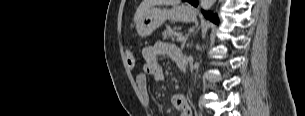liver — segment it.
Returning a JSON list of instances; mask_svg holds the SVG:
<instances>
[{
	"mask_svg": "<svg viewBox=\"0 0 305 116\" xmlns=\"http://www.w3.org/2000/svg\"><path fill=\"white\" fill-rule=\"evenodd\" d=\"M179 3L180 0H143L135 13L134 21L137 23L143 14L151 7L156 5H177Z\"/></svg>",
	"mask_w": 305,
	"mask_h": 116,
	"instance_id": "1",
	"label": "liver"
}]
</instances>
